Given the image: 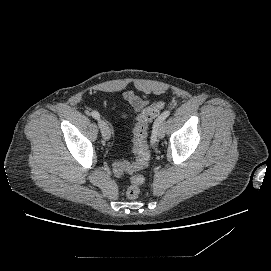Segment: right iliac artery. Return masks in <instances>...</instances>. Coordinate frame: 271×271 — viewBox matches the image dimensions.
Returning <instances> with one entry per match:
<instances>
[{
  "instance_id": "1",
  "label": "right iliac artery",
  "mask_w": 271,
  "mask_h": 271,
  "mask_svg": "<svg viewBox=\"0 0 271 271\" xmlns=\"http://www.w3.org/2000/svg\"><path fill=\"white\" fill-rule=\"evenodd\" d=\"M91 116L94 118V119H100V115L97 111H92L91 112Z\"/></svg>"
}]
</instances>
